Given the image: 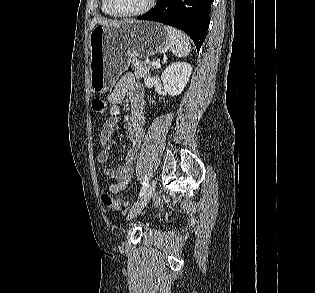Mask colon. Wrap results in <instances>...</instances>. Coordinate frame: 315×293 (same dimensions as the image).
Returning a JSON list of instances; mask_svg holds the SVG:
<instances>
[{"mask_svg": "<svg viewBox=\"0 0 315 293\" xmlns=\"http://www.w3.org/2000/svg\"><path fill=\"white\" fill-rule=\"evenodd\" d=\"M92 108L97 113H104L107 109V103L102 98H95L92 101ZM101 200L106 207L113 210L126 209L129 206L128 201H124L120 198H114L106 192L102 194Z\"/></svg>", "mask_w": 315, "mask_h": 293, "instance_id": "1", "label": "colon"}]
</instances>
